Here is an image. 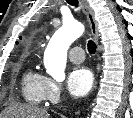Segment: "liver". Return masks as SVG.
I'll return each instance as SVG.
<instances>
[{
	"label": "liver",
	"mask_w": 133,
	"mask_h": 118,
	"mask_svg": "<svg viewBox=\"0 0 133 118\" xmlns=\"http://www.w3.org/2000/svg\"><path fill=\"white\" fill-rule=\"evenodd\" d=\"M3 116L5 118H49L46 109L30 105L10 107L4 112Z\"/></svg>",
	"instance_id": "6515ba94"
}]
</instances>
